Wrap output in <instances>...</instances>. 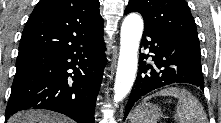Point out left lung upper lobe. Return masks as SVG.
<instances>
[{"label": "left lung upper lobe", "mask_w": 221, "mask_h": 123, "mask_svg": "<svg viewBox=\"0 0 221 123\" xmlns=\"http://www.w3.org/2000/svg\"><path fill=\"white\" fill-rule=\"evenodd\" d=\"M130 12H139L148 28L199 45L196 25L185 0H129L125 14Z\"/></svg>", "instance_id": "obj_1"}]
</instances>
